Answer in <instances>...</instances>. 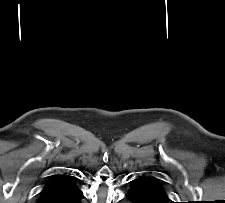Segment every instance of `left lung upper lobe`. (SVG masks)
Returning <instances> with one entry per match:
<instances>
[{
	"label": "left lung upper lobe",
	"mask_w": 225,
	"mask_h": 203,
	"mask_svg": "<svg viewBox=\"0 0 225 203\" xmlns=\"http://www.w3.org/2000/svg\"><path fill=\"white\" fill-rule=\"evenodd\" d=\"M138 179H140V181H142L153 194L162 199L165 203H173L164 189L162 184L163 181L159 178L147 173L140 175Z\"/></svg>",
	"instance_id": "left-lung-upper-lobe-1"
}]
</instances>
